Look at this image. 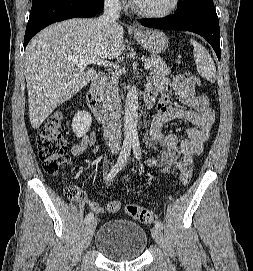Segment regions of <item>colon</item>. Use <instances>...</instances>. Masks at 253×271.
Here are the masks:
<instances>
[{"label": "colon", "mask_w": 253, "mask_h": 271, "mask_svg": "<svg viewBox=\"0 0 253 271\" xmlns=\"http://www.w3.org/2000/svg\"><path fill=\"white\" fill-rule=\"evenodd\" d=\"M63 124L64 115L60 112L54 113L41 128L36 139L43 170L48 174L60 175L70 164V158L67 153V141L62 133ZM191 177L192 172L190 170L183 172L180 176L181 184L186 186L190 182ZM65 194L69 199H76L79 195V190L76 186L69 185L65 190ZM120 207L121 203L113 200L108 204V211L117 213ZM125 212L141 223L150 224L155 218L152 210L137 204H127Z\"/></svg>", "instance_id": "colon-1"}]
</instances>
